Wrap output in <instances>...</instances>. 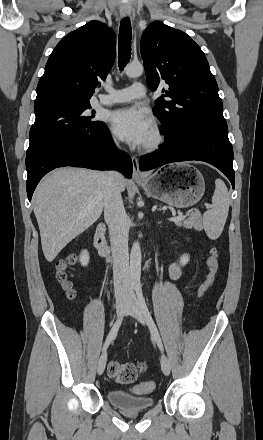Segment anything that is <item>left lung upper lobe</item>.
I'll use <instances>...</instances> for the list:
<instances>
[{
	"mask_svg": "<svg viewBox=\"0 0 263 440\" xmlns=\"http://www.w3.org/2000/svg\"><path fill=\"white\" fill-rule=\"evenodd\" d=\"M140 49L149 87L156 90L160 82L169 86L153 112L181 147L193 143L200 130L226 124L205 54L186 33L155 21L145 29Z\"/></svg>",
	"mask_w": 263,
	"mask_h": 440,
	"instance_id": "1",
	"label": "left lung upper lobe"
}]
</instances>
